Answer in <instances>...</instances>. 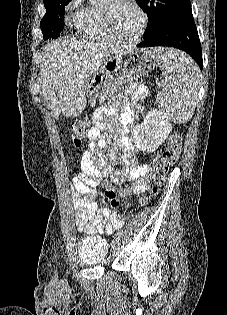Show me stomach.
Wrapping results in <instances>:
<instances>
[{
	"instance_id": "stomach-1",
	"label": "stomach",
	"mask_w": 227,
	"mask_h": 315,
	"mask_svg": "<svg viewBox=\"0 0 227 315\" xmlns=\"http://www.w3.org/2000/svg\"><path fill=\"white\" fill-rule=\"evenodd\" d=\"M119 57L114 56L106 65L107 68H100L94 75H91L90 80H87V93L90 91H110L109 82H117V66Z\"/></svg>"
}]
</instances>
